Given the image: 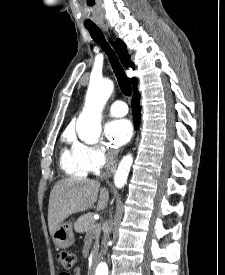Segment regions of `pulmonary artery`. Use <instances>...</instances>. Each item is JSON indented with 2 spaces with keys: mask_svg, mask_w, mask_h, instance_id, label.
<instances>
[{
  "mask_svg": "<svg viewBox=\"0 0 225 275\" xmlns=\"http://www.w3.org/2000/svg\"><path fill=\"white\" fill-rule=\"evenodd\" d=\"M108 112L112 116L120 117L127 114L128 107L123 101H115L108 107Z\"/></svg>",
  "mask_w": 225,
  "mask_h": 275,
  "instance_id": "obj_1",
  "label": "pulmonary artery"
}]
</instances>
